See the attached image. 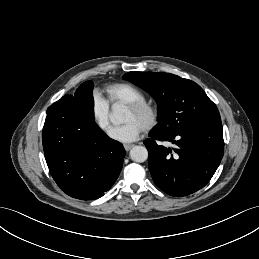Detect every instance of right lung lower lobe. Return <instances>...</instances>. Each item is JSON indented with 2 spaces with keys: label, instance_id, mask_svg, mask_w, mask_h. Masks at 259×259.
I'll return each mask as SVG.
<instances>
[{
  "label": "right lung lower lobe",
  "instance_id": "right-lung-lower-lobe-1",
  "mask_svg": "<svg viewBox=\"0 0 259 259\" xmlns=\"http://www.w3.org/2000/svg\"><path fill=\"white\" fill-rule=\"evenodd\" d=\"M71 95L47 109L42 138L45 159L57 185L69 196L97 199L118 178L123 145L84 118Z\"/></svg>",
  "mask_w": 259,
  "mask_h": 259
}]
</instances>
